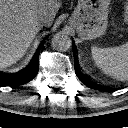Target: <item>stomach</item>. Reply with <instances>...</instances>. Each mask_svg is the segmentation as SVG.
Listing matches in <instances>:
<instances>
[{
	"instance_id": "0dacf381",
	"label": "stomach",
	"mask_w": 128,
	"mask_h": 128,
	"mask_svg": "<svg viewBox=\"0 0 128 128\" xmlns=\"http://www.w3.org/2000/svg\"><path fill=\"white\" fill-rule=\"evenodd\" d=\"M111 0H78L70 24L82 39L103 35L108 25V8Z\"/></svg>"
}]
</instances>
